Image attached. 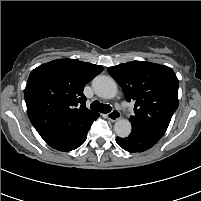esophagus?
<instances>
[{
    "instance_id": "obj_1",
    "label": "esophagus",
    "mask_w": 201,
    "mask_h": 201,
    "mask_svg": "<svg viewBox=\"0 0 201 201\" xmlns=\"http://www.w3.org/2000/svg\"><path fill=\"white\" fill-rule=\"evenodd\" d=\"M120 117H121V114L116 109L112 110L110 113L107 114V118L112 122L117 121L118 119H120Z\"/></svg>"
}]
</instances>
